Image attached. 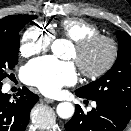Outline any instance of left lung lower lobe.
<instances>
[{
	"label": "left lung lower lobe",
	"mask_w": 131,
	"mask_h": 131,
	"mask_svg": "<svg viewBox=\"0 0 131 131\" xmlns=\"http://www.w3.org/2000/svg\"><path fill=\"white\" fill-rule=\"evenodd\" d=\"M77 96L84 98L76 93ZM97 107L85 114L77 105L72 119L65 125L66 131H122L131 117L116 106L96 101Z\"/></svg>",
	"instance_id": "1"
}]
</instances>
